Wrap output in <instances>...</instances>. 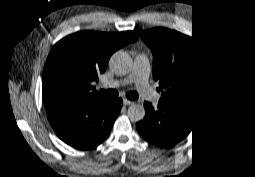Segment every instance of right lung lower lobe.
<instances>
[{"label": "right lung lower lobe", "mask_w": 255, "mask_h": 177, "mask_svg": "<svg viewBox=\"0 0 255 177\" xmlns=\"http://www.w3.org/2000/svg\"><path fill=\"white\" fill-rule=\"evenodd\" d=\"M123 101L97 96L85 101L62 103L47 109L56 134L78 149H91L108 136Z\"/></svg>", "instance_id": "right-lung-lower-lobe-1"}]
</instances>
